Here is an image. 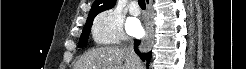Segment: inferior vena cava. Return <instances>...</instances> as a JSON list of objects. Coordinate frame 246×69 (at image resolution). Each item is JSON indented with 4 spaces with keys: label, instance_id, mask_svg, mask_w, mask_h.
<instances>
[{
    "label": "inferior vena cava",
    "instance_id": "1",
    "mask_svg": "<svg viewBox=\"0 0 246 69\" xmlns=\"http://www.w3.org/2000/svg\"><path fill=\"white\" fill-rule=\"evenodd\" d=\"M122 47L128 51V53H129V59L134 64V66H138V64H139V58L136 55V53L134 52L133 43H129V44L124 43L122 45ZM136 68H138V67H133V69H136Z\"/></svg>",
    "mask_w": 246,
    "mask_h": 69
}]
</instances>
